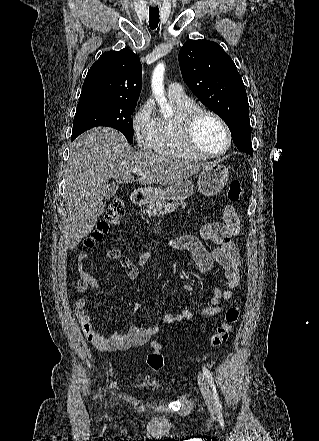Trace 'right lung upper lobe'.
I'll return each instance as SVG.
<instances>
[{"label": "right lung upper lobe", "mask_w": 319, "mask_h": 441, "mask_svg": "<svg viewBox=\"0 0 319 441\" xmlns=\"http://www.w3.org/2000/svg\"><path fill=\"white\" fill-rule=\"evenodd\" d=\"M142 86L139 57L130 49L103 53L91 66L80 100H113L137 103Z\"/></svg>", "instance_id": "1"}]
</instances>
